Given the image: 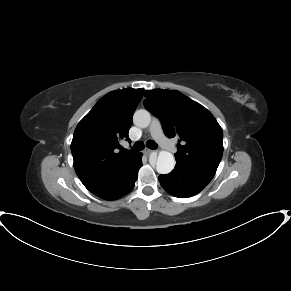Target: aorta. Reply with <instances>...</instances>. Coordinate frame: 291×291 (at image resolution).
<instances>
[{
	"label": "aorta",
	"instance_id": "aorta-1",
	"mask_svg": "<svg viewBox=\"0 0 291 291\" xmlns=\"http://www.w3.org/2000/svg\"><path fill=\"white\" fill-rule=\"evenodd\" d=\"M133 122L140 128H146L151 122V115L145 109L135 111L133 115ZM175 166V158L172 153L168 151L159 152L158 159L156 162V170L159 174L170 173Z\"/></svg>",
	"mask_w": 291,
	"mask_h": 291
}]
</instances>
